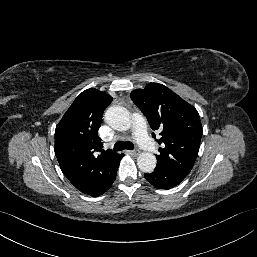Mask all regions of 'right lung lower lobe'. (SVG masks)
Listing matches in <instances>:
<instances>
[{
  "instance_id": "obj_1",
  "label": "right lung lower lobe",
  "mask_w": 257,
  "mask_h": 257,
  "mask_svg": "<svg viewBox=\"0 0 257 257\" xmlns=\"http://www.w3.org/2000/svg\"><path fill=\"white\" fill-rule=\"evenodd\" d=\"M122 157H123V154H121V157L118 159V162H117V164H116V167H115V170H114V173H113L112 179H111V181H110V183H109V187H108V189L111 187L112 183H113V182H114V180H115L116 172H117V169H118V166H119V163H120V160L122 159ZM108 189H107V190H108Z\"/></svg>"
}]
</instances>
